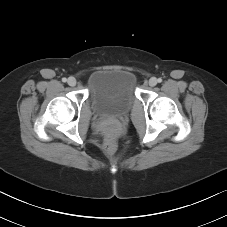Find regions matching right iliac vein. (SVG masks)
<instances>
[{"label": "right iliac vein", "instance_id": "obj_1", "mask_svg": "<svg viewBox=\"0 0 227 227\" xmlns=\"http://www.w3.org/2000/svg\"><path fill=\"white\" fill-rule=\"evenodd\" d=\"M67 83H68V85L73 87L76 85L77 81L74 77H69Z\"/></svg>", "mask_w": 227, "mask_h": 227}]
</instances>
